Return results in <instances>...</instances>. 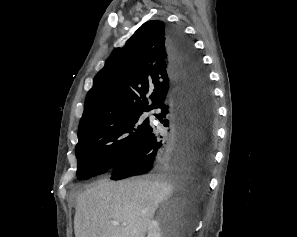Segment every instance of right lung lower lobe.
Listing matches in <instances>:
<instances>
[{
	"label": "right lung lower lobe",
	"mask_w": 297,
	"mask_h": 237,
	"mask_svg": "<svg viewBox=\"0 0 297 237\" xmlns=\"http://www.w3.org/2000/svg\"><path fill=\"white\" fill-rule=\"evenodd\" d=\"M168 46L176 88L155 114L167 130L151 128L145 139L115 164L112 180L148 173L205 175L211 168L216 110L207 74L181 29L169 27Z\"/></svg>",
	"instance_id": "obj_1"
}]
</instances>
